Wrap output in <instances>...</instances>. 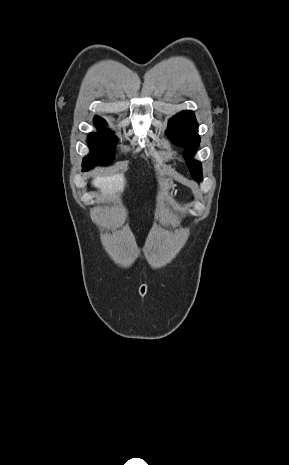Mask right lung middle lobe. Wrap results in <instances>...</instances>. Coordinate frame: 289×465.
<instances>
[{
  "instance_id": "1",
  "label": "right lung middle lobe",
  "mask_w": 289,
  "mask_h": 465,
  "mask_svg": "<svg viewBox=\"0 0 289 465\" xmlns=\"http://www.w3.org/2000/svg\"><path fill=\"white\" fill-rule=\"evenodd\" d=\"M117 138L106 129H98V133H90L88 144L91 153L84 157L83 171H88L97 165H108L114 160V147Z\"/></svg>"
}]
</instances>
